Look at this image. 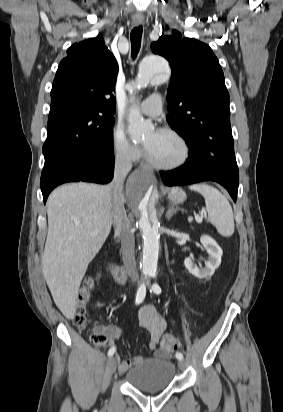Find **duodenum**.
<instances>
[{"mask_svg":"<svg viewBox=\"0 0 283 412\" xmlns=\"http://www.w3.org/2000/svg\"><path fill=\"white\" fill-rule=\"evenodd\" d=\"M105 266L107 271L118 284L125 283L127 279L126 273L123 270L119 269V267L113 261L106 259Z\"/></svg>","mask_w":283,"mask_h":412,"instance_id":"1","label":"duodenum"}]
</instances>
